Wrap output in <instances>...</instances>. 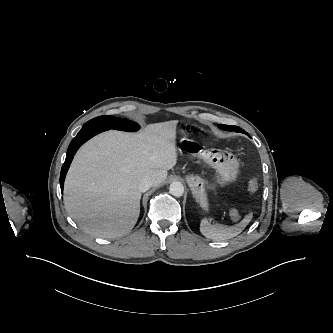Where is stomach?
<instances>
[{"label": "stomach", "instance_id": "1", "mask_svg": "<svg viewBox=\"0 0 333 333\" xmlns=\"http://www.w3.org/2000/svg\"><path fill=\"white\" fill-rule=\"evenodd\" d=\"M180 147L185 152L191 153L214 168L218 174L219 183L227 184L235 180L239 171V162L231 152L220 149H203L201 146L196 145L194 141L186 138L181 139ZM186 179L193 197L207 211L208 200L206 190L211 189L212 185L198 175H188Z\"/></svg>", "mask_w": 333, "mask_h": 333}]
</instances>
